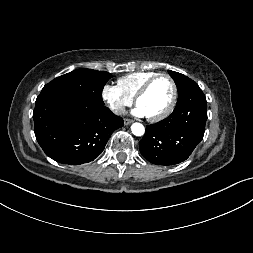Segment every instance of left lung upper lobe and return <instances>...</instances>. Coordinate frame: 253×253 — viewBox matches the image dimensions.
<instances>
[{"mask_svg":"<svg viewBox=\"0 0 253 253\" xmlns=\"http://www.w3.org/2000/svg\"><path fill=\"white\" fill-rule=\"evenodd\" d=\"M168 73L175 81L178 89V98H180L193 84L196 83L181 73H177L171 70H168Z\"/></svg>","mask_w":253,"mask_h":253,"instance_id":"obj_1","label":"left lung upper lobe"}]
</instances>
